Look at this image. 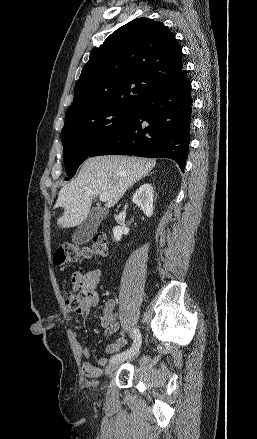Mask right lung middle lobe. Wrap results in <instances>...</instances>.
<instances>
[{
	"instance_id": "1",
	"label": "right lung middle lobe",
	"mask_w": 257,
	"mask_h": 439,
	"mask_svg": "<svg viewBox=\"0 0 257 439\" xmlns=\"http://www.w3.org/2000/svg\"><path fill=\"white\" fill-rule=\"evenodd\" d=\"M136 108L106 107L87 111L65 120L61 141L68 178L108 136L123 126Z\"/></svg>"
}]
</instances>
